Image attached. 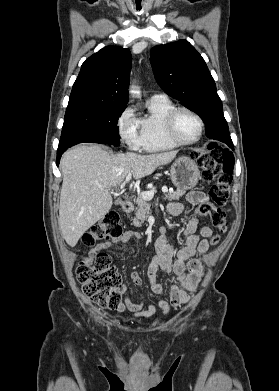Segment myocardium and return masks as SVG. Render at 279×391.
Returning a JSON list of instances; mask_svg holds the SVG:
<instances>
[{"label":"myocardium","instance_id":"obj_1","mask_svg":"<svg viewBox=\"0 0 279 391\" xmlns=\"http://www.w3.org/2000/svg\"><path fill=\"white\" fill-rule=\"evenodd\" d=\"M180 112H188L198 121L199 134L194 140L184 141L181 138H179V136L177 135L175 124H176L177 116ZM165 128H166L167 136L172 142H174L178 146H188L197 143L201 139L204 133V121L201 118V116L192 108L187 106H175L169 111V113L165 118Z\"/></svg>","mask_w":279,"mask_h":391}]
</instances>
